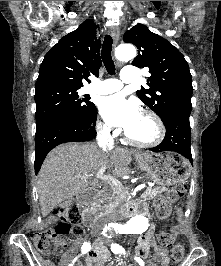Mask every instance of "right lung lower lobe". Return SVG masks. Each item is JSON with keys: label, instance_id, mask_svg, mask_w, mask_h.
<instances>
[{"label": "right lung lower lobe", "instance_id": "1", "mask_svg": "<svg viewBox=\"0 0 221 266\" xmlns=\"http://www.w3.org/2000/svg\"><path fill=\"white\" fill-rule=\"evenodd\" d=\"M97 113L91 120L59 118L36 129L35 173L37 174L46 155L55 146L74 141H89L96 137Z\"/></svg>", "mask_w": 221, "mask_h": 266}]
</instances>
